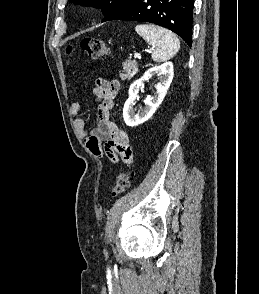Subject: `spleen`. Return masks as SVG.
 Returning <instances> with one entry per match:
<instances>
[{
	"instance_id": "spleen-1",
	"label": "spleen",
	"mask_w": 259,
	"mask_h": 294,
	"mask_svg": "<svg viewBox=\"0 0 259 294\" xmlns=\"http://www.w3.org/2000/svg\"><path fill=\"white\" fill-rule=\"evenodd\" d=\"M135 31L155 47L152 59L159 63L171 59L180 49L179 39L169 30L150 24H141Z\"/></svg>"
}]
</instances>
